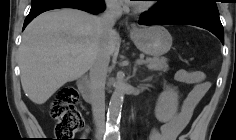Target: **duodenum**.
<instances>
[{"instance_id":"410a0bca","label":"duodenum","mask_w":236,"mask_h":140,"mask_svg":"<svg viewBox=\"0 0 236 140\" xmlns=\"http://www.w3.org/2000/svg\"><path fill=\"white\" fill-rule=\"evenodd\" d=\"M78 88L80 90V93L83 97V99L86 102H90L93 99L92 89L90 86V81L87 76H83L79 78L78 80Z\"/></svg>"}]
</instances>
